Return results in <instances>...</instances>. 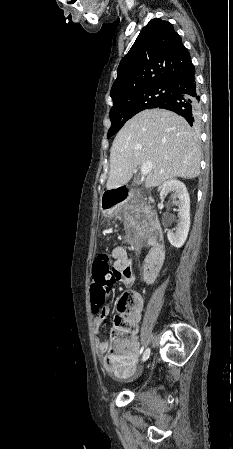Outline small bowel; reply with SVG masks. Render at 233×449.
I'll return each instance as SVG.
<instances>
[{"instance_id": "c3829d8e", "label": "small bowel", "mask_w": 233, "mask_h": 449, "mask_svg": "<svg viewBox=\"0 0 233 449\" xmlns=\"http://www.w3.org/2000/svg\"><path fill=\"white\" fill-rule=\"evenodd\" d=\"M112 264V283L116 281L123 282L126 286H132L134 283L133 264L128 257L124 248L116 246L111 250ZM142 281L150 285L155 281V272H142ZM140 312V310H139ZM110 309L104 306L101 311L93 319V332L97 336L99 328L104 320L109 316ZM96 353L101 363L106 366V361H114V365L110 367L112 372L118 377L124 378L129 376L134 368L139 356L138 342L136 334H133L126 351L109 353L110 343L108 340L95 339Z\"/></svg>"}]
</instances>
